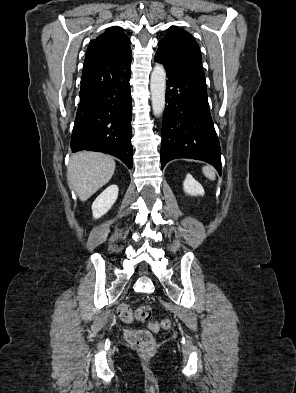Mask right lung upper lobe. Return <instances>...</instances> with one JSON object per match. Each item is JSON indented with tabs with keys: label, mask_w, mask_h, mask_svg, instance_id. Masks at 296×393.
<instances>
[{
	"label": "right lung upper lobe",
	"mask_w": 296,
	"mask_h": 393,
	"mask_svg": "<svg viewBox=\"0 0 296 393\" xmlns=\"http://www.w3.org/2000/svg\"><path fill=\"white\" fill-rule=\"evenodd\" d=\"M131 54L130 40L118 27H110L92 40L87 49L85 60L122 58Z\"/></svg>",
	"instance_id": "cb5924a9"
}]
</instances>
